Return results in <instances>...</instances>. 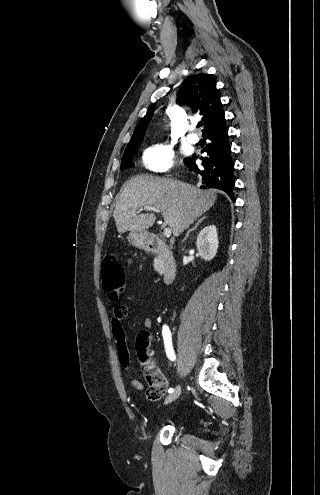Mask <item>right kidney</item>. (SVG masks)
I'll list each match as a JSON object with an SVG mask.
<instances>
[{
	"label": "right kidney",
	"mask_w": 320,
	"mask_h": 495,
	"mask_svg": "<svg viewBox=\"0 0 320 495\" xmlns=\"http://www.w3.org/2000/svg\"><path fill=\"white\" fill-rule=\"evenodd\" d=\"M218 234L214 225L202 229L197 237L196 245L199 255L205 261L212 260L218 249Z\"/></svg>",
	"instance_id": "1"
}]
</instances>
